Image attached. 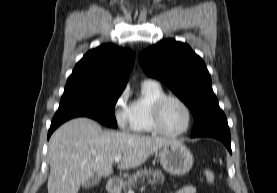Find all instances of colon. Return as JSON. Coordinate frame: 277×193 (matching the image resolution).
Instances as JSON below:
<instances>
[{
    "mask_svg": "<svg viewBox=\"0 0 277 193\" xmlns=\"http://www.w3.org/2000/svg\"><path fill=\"white\" fill-rule=\"evenodd\" d=\"M203 175H204V178H205V180L208 184L212 185V184L215 183L216 176H215V173L212 170H210V169L204 170Z\"/></svg>",
    "mask_w": 277,
    "mask_h": 193,
    "instance_id": "1",
    "label": "colon"
}]
</instances>
